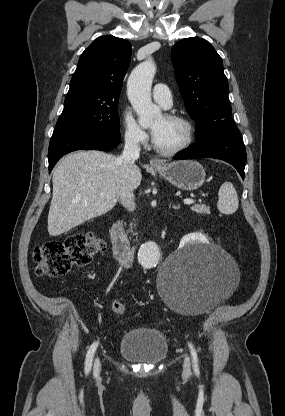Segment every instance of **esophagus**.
Segmentation results:
<instances>
[{
  "label": "esophagus",
  "instance_id": "1",
  "mask_svg": "<svg viewBox=\"0 0 285 416\" xmlns=\"http://www.w3.org/2000/svg\"><path fill=\"white\" fill-rule=\"evenodd\" d=\"M150 164H151L152 166H155V165H160V161H159V160H157L156 158H153L152 160H150Z\"/></svg>",
  "mask_w": 285,
  "mask_h": 416
}]
</instances>
